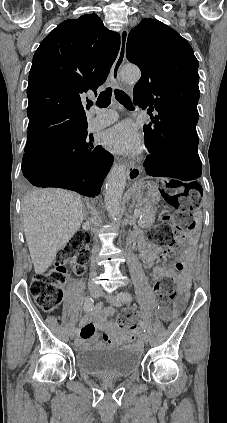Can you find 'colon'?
<instances>
[{
	"label": "colon",
	"instance_id": "1",
	"mask_svg": "<svg viewBox=\"0 0 227 423\" xmlns=\"http://www.w3.org/2000/svg\"><path fill=\"white\" fill-rule=\"evenodd\" d=\"M161 193L175 212L164 216L162 222L151 229L148 235L154 243L175 251L183 246V240L178 235L185 229L194 227L191 215L200 203V187L194 182L186 184L168 182L162 185ZM88 242L87 233L77 232L58 253L54 265L48 271L33 278L29 291L43 311L52 312L61 303L67 280L66 265L69 262H74L75 271L82 273L88 258ZM154 290L160 308H167L177 294L176 284L172 277L157 281ZM117 324L121 329L133 330L136 327L134 313L132 311L123 313L118 318Z\"/></svg>",
	"mask_w": 227,
	"mask_h": 423
}]
</instances>
